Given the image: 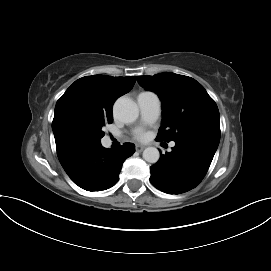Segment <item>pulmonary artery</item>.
<instances>
[{
    "instance_id": "1",
    "label": "pulmonary artery",
    "mask_w": 271,
    "mask_h": 271,
    "mask_svg": "<svg viewBox=\"0 0 271 271\" xmlns=\"http://www.w3.org/2000/svg\"><path fill=\"white\" fill-rule=\"evenodd\" d=\"M137 103L144 122L149 123L157 119L160 113V100L155 93H140L137 97ZM174 145V143H171V147H174Z\"/></svg>"
}]
</instances>
